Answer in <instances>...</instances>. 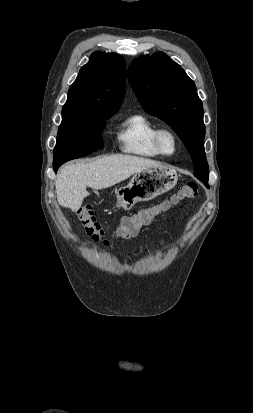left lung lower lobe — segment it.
I'll return each instance as SVG.
<instances>
[{
    "label": "left lung lower lobe",
    "instance_id": "obj_1",
    "mask_svg": "<svg viewBox=\"0 0 253 413\" xmlns=\"http://www.w3.org/2000/svg\"><path fill=\"white\" fill-rule=\"evenodd\" d=\"M204 185L207 187V188H209V185H208V183H204Z\"/></svg>",
    "mask_w": 253,
    "mask_h": 413
}]
</instances>
